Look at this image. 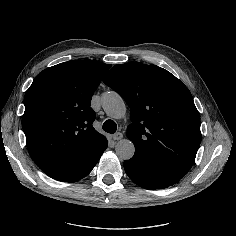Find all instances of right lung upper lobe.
Here are the masks:
<instances>
[{"mask_svg": "<svg viewBox=\"0 0 236 236\" xmlns=\"http://www.w3.org/2000/svg\"><path fill=\"white\" fill-rule=\"evenodd\" d=\"M111 67L97 61H68L39 73L24 97L27 148L49 177L63 180L106 143L92 126L91 98Z\"/></svg>", "mask_w": 236, "mask_h": 236, "instance_id": "obj_1", "label": "right lung upper lobe"}]
</instances>
